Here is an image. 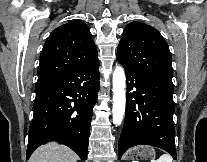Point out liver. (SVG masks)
Wrapping results in <instances>:
<instances>
[{"label": "liver", "instance_id": "liver-1", "mask_svg": "<svg viewBox=\"0 0 207 162\" xmlns=\"http://www.w3.org/2000/svg\"><path fill=\"white\" fill-rule=\"evenodd\" d=\"M78 156L63 144L51 142L41 145L28 162H77Z\"/></svg>", "mask_w": 207, "mask_h": 162}]
</instances>
